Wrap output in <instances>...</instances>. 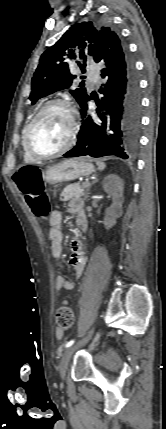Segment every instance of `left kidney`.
<instances>
[{
	"mask_svg": "<svg viewBox=\"0 0 166 429\" xmlns=\"http://www.w3.org/2000/svg\"><path fill=\"white\" fill-rule=\"evenodd\" d=\"M104 191L112 197L113 203L107 208L103 224L110 229L116 223V219L122 215L123 182L116 174H110L103 180Z\"/></svg>",
	"mask_w": 166,
	"mask_h": 429,
	"instance_id": "obj_1",
	"label": "left kidney"
}]
</instances>
